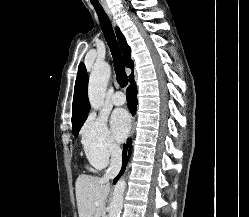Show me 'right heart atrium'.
I'll list each match as a JSON object with an SVG mask.
<instances>
[{
    "instance_id": "1",
    "label": "right heart atrium",
    "mask_w": 249,
    "mask_h": 217,
    "mask_svg": "<svg viewBox=\"0 0 249 217\" xmlns=\"http://www.w3.org/2000/svg\"><path fill=\"white\" fill-rule=\"evenodd\" d=\"M81 143L88 161L96 168L105 167L118 146L105 118L90 115L81 129Z\"/></svg>"
}]
</instances>
